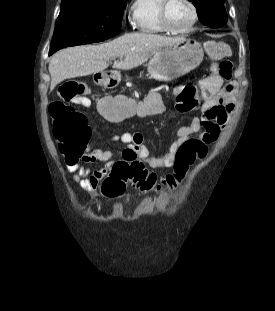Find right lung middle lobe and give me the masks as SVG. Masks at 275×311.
Here are the masks:
<instances>
[{"mask_svg":"<svg viewBox=\"0 0 275 311\" xmlns=\"http://www.w3.org/2000/svg\"><path fill=\"white\" fill-rule=\"evenodd\" d=\"M128 0H62L49 55L59 49L103 41L115 32Z\"/></svg>","mask_w":275,"mask_h":311,"instance_id":"dd1d6c3e","label":"right lung middle lobe"}]
</instances>
